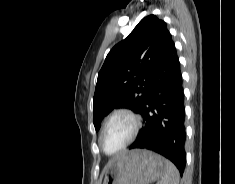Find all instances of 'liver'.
Masks as SVG:
<instances>
[{"mask_svg": "<svg viewBox=\"0 0 235 184\" xmlns=\"http://www.w3.org/2000/svg\"><path fill=\"white\" fill-rule=\"evenodd\" d=\"M117 158H120V156H117ZM117 158H114V160H117Z\"/></svg>", "mask_w": 235, "mask_h": 184, "instance_id": "1", "label": "liver"}]
</instances>
